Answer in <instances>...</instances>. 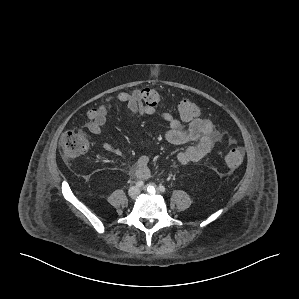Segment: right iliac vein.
Segmentation results:
<instances>
[{"label": "right iliac vein", "mask_w": 299, "mask_h": 299, "mask_svg": "<svg viewBox=\"0 0 299 299\" xmlns=\"http://www.w3.org/2000/svg\"><path fill=\"white\" fill-rule=\"evenodd\" d=\"M140 194V190L138 187L133 186L129 189L128 191V195L130 196V198L135 199L136 197H138V195Z\"/></svg>", "instance_id": "63e3f726"}]
</instances>
